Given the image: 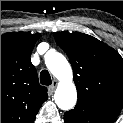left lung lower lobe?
Listing matches in <instances>:
<instances>
[{
    "label": "left lung lower lobe",
    "mask_w": 123,
    "mask_h": 123,
    "mask_svg": "<svg viewBox=\"0 0 123 123\" xmlns=\"http://www.w3.org/2000/svg\"><path fill=\"white\" fill-rule=\"evenodd\" d=\"M115 118L79 104L64 114L65 123H113Z\"/></svg>",
    "instance_id": "obj_1"
}]
</instances>
